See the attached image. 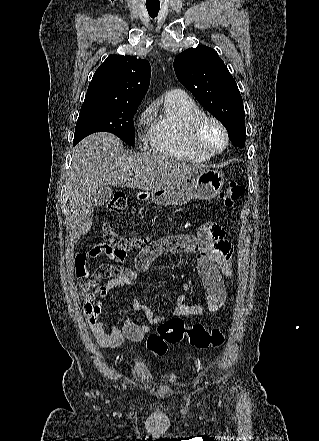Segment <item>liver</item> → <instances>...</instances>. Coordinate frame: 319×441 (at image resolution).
<instances>
[{
	"instance_id": "liver-1",
	"label": "liver",
	"mask_w": 319,
	"mask_h": 441,
	"mask_svg": "<svg viewBox=\"0 0 319 441\" xmlns=\"http://www.w3.org/2000/svg\"><path fill=\"white\" fill-rule=\"evenodd\" d=\"M208 166L151 153L132 154L110 133H94L72 151L69 171L70 237L76 242L92 227L98 189L105 185L154 191L172 187ZM138 170L133 179L130 174Z\"/></svg>"
}]
</instances>
